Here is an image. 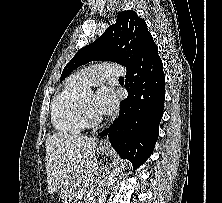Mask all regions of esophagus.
<instances>
[{"instance_id":"1","label":"esophagus","mask_w":222,"mask_h":203,"mask_svg":"<svg viewBox=\"0 0 222 203\" xmlns=\"http://www.w3.org/2000/svg\"><path fill=\"white\" fill-rule=\"evenodd\" d=\"M100 145H101V146H108V145H109L108 140H107V139H102V140L100 141Z\"/></svg>"}]
</instances>
